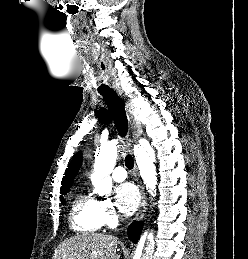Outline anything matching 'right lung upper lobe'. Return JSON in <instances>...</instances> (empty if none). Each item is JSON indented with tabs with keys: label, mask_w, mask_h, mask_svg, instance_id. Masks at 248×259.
Returning a JSON list of instances; mask_svg holds the SVG:
<instances>
[{
	"label": "right lung upper lobe",
	"mask_w": 248,
	"mask_h": 259,
	"mask_svg": "<svg viewBox=\"0 0 248 259\" xmlns=\"http://www.w3.org/2000/svg\"><path fill=\"white\" fill-rule=\"evenodd\" d=\"M82 162L81 153L79 152L76 156H74L73 160L69 164L65 176L62 180L61 191L67 190L71 187L74 177L76 176Z\"/></svg>",
	"instance_id": "1"
}]
</instances>
